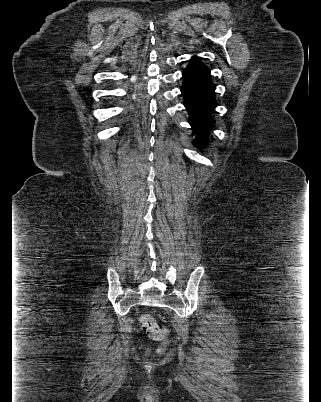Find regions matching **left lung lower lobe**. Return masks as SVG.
Segmentation results:
<instances>
[{"mask_svg": "<svg viewBox=\"0 0 321 402\" xmlns=\"http://www.w3.org/2000/svg\"><path fill=\"white\" fill-rule=\"evenodd\" d=\"M184 106L189 113V123L196 135L195 144L204 147L208 134L214 125L213 110L217 105L215 100V85L210 78V70L197 57L190 59V64L182 73Z\"/></svg>", "mask_w": 321, "mask_h": 402, "instance_id": "obj_1", "label": "left lung lower lobe"}]
</instances>
